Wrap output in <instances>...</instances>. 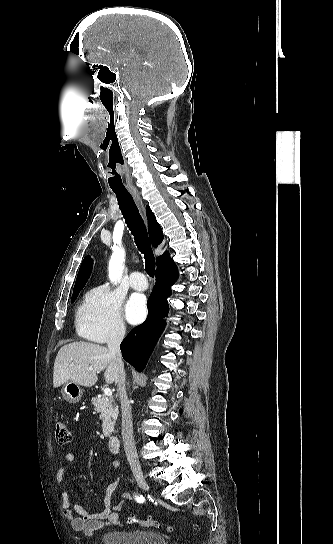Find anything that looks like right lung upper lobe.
I'll return each mask as SVG.
<instances>
[{
  "mask_svg": "<svg viewBox=\"0 0 333 544\" xmlns=\"http://www.w3.org/2000/svg\"><path fill=\"white\" fill-rule=\"evenodd\" d=\"M146 213L148 218V231L149 236L154 247H157L163 241V233L160 225L157 223L155 216L149 206L146 207ZM92 259L90 256H86L81 263L76 283L73 292L80 291L86 284L92 271ZM174 264L173 260L168 254H163L157 258V270H160L166 266Z\"/></svg>",
  "mask_w": 333,
  "mask_h": 544,
  "instance_id": "1",
  "label": "right lung upper lobe"
}]
</instances>
